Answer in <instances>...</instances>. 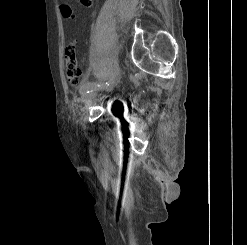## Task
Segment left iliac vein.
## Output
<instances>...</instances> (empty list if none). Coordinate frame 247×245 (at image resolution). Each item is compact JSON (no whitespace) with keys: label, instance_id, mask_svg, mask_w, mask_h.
Wrapping results in <instances>:
<instances>
[{"label":"left iliac vein","instance_id":"obj_1","mask_svg":"<svg viewBox=\"0 0 247 245\" xmlns=\"http://www.w3.org/2000/svg\"><path fill=\"white\" fill-rule=\"evenodd\" d=\"M119 78H120L119 72H115L107 85H104V86H97L95 84L92 85L89 92L84 93L82 96V101L84 102V104L86 106L90 105L92 101L94 100V98L96 97L99 89H107V90L113 89L118 83Z\"/></svg>","mask_w":247,"mask_h":245}]
</instances>
